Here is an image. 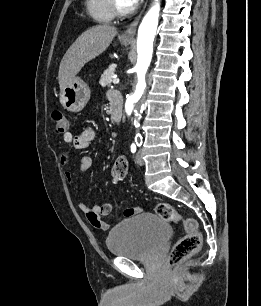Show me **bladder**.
Here are the masks:
<instances>
[{"label": "bladder", "mask_w": 261, "mask_h": 306, "mask_svg": "<svg viewBox=\"0 0 261 306\" xmlns=\"http://www.w3.org/2000/svg\"><path fill=\"white\" fill-rule=\"evenodd\" d=\"M171 227L159 215L142 213L116 225L106 238L109 252L132 260L149 259L169 239Z\"/></svg>", "instance_id": "31cf9c89"}]
</instances>
